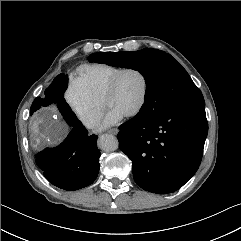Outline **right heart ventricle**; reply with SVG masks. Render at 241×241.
<instances>
[{"label": "right heart ventricle", "instance_id": "obj_1", "mask_svg": "<svg viewBox=\"0 0 241 241\" xmlns=\"http://www.w3.org/2000/svg\"><path fill=\"white\" fill-rule=\"evenodd\" d=\"M121 69V66L105 63L85 64L78 69V80L96 100L103 101L109 81Z\"/></svg>", "mask_w": 241, "mask_h": 241}]
</instances>
